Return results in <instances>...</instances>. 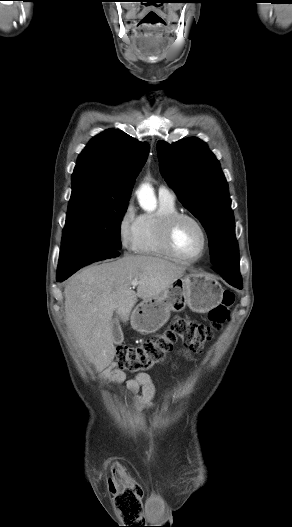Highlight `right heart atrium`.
<instances>
[{
    "instance_id": "right-heart-atrium-1",
    "label": "right heart atrium",
    "mask_w": 292,
    "mask_h": 527,
    "mask_svg": "<svg viewBox=\"0 0 292 527\" xmlns=\"http://www.w3.org/2000/svg\"><path fill=\"white\" fill-rule=\"evenodd\" d=\"M139 215L132 201H129L120 214L117 232L123 248L131 250L134 246Z\"/></svg>"
}]
</instances>
